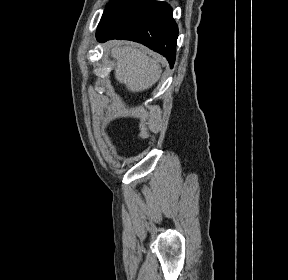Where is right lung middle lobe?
<instances>
[{"instance_id":"obj_1","label":"right lung middle lobe","mask_w":288,"mask_h":280,"mask_svg":"<svg viewBox=\"0 0 288 280\" xmlns=\"http://www.w3.org/2000/svg\"><path fill=\"white\" fill-rule=\"evenodd\" d=\"M124 0H110V2L107 4L104 13L113 8L114 6L122 3Z\"/></svg>"}]
</instances>
